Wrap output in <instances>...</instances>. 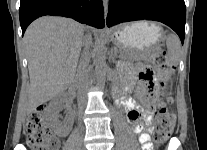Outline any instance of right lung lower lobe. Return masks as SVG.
<instances>
[{
	"instance_id": "1",
	"label": "right lung lower lobe",
	"mask_w": 207,
	"mask_h": 150,
	"mask_svg": "<svg viewBox=\"0 0 207 150\" xmlns=\"http://www.w3.org/2000/svg\"><path fill=\"white\" fill-rule=\"evenodd\" d=\"M44 15L65 16L96 28L104 27L102 0H21L22 35L33 20Z\"/></svg>"
}]
</instances>
